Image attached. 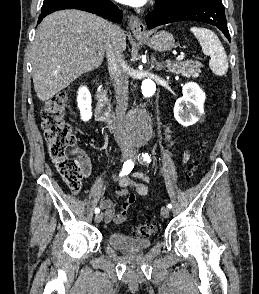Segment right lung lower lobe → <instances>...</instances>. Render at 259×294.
<instances>
[{
	"instance_id": "right-lung-lower-lobe-1",
	"label": "right lung lower lobe",
	"mask_w": 259,
	"mask_h": 294,
	"mask_svg": "<svg viewBox=\"0 0 259 294\" xmlns=\"http://www.w3.org/2000/svg\"><path fill=\"white\" fill-rule=\"evenodd\" d=\"M63 9H79L97 14L114 22H121L122 11L109 0H56L52 4L42 7L38 23L55 11Z\"/></svg>"
}]
</instances>
